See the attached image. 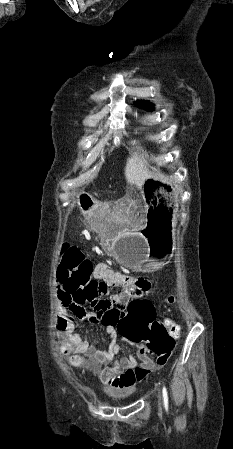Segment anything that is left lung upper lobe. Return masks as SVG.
<instances>
[{
	"label": "left lung upper lobe",
	"instance_id": "left-lung-upper-lobe-1",
	"mask_svg": "<svg viewBox=\"0 0 233 449\" xmlns=\"http://www.w3.org/2000/svg\"><path fill=\"white\" fill-rule=\"evenodd\" d=\"M135 104L140 106L141 108H145L146 110H153V104H151L149 101H138Z\"/></svg>",
	"mask_w": 233,
	"mask_h": 449
}]
</instances>
